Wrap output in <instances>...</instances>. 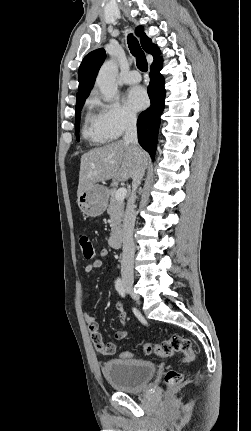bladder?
<instances>
[{
	"instance_id": "bladder-1",
	"label": "bladder",
	"mask_w": 251,
	"mask_h": 431,
	"mask_svg": "<svg viewBox=\"0 0 251 431\" xmlns=\"http://www.w3.org/2000/svg\"><path fill=\"white\" fill-rule=\"evenodd\" d=\"M155 372V364L148 360L112 359L102 367L108 384L115 390L128 393L144 389Z\"/></svg>"
}]
</instances>
